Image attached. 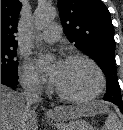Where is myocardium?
Returning a JSON list of instances; mask_svg holds the SVG:
<instances>
[{
	"label": "myocardium",
	"instance_id": "f54148a6",
	"mask_svg": "<svg viewBox=\"0 0 123 130\" xmlns=\"http://www.w3.org/2000/svg\"><path fill=\"white\" fill-rule=\"evenodd\" d=\"M72 60H82L92 66V68L96 71L97 76H98L97 89L90 95L77 97V96H71V95H68V94L62 92L53 83L52 84L53 91L60 99L67 101V102H72V103H83V102H88V101H91V100L97 98L103 92L105 85H106V80H105V76H104L102 69L92 58H90L84 54L72 53L65 57V61H72Z\"/></svg>",
	"mask_w": 123,
	"mask_h": 130
}]
</instances>
